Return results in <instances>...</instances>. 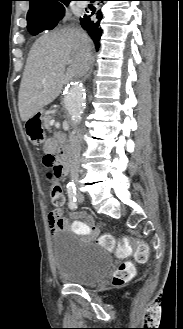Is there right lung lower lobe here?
I'll return each instance as SVG.
<instances>
[{
	"label": "right lung lower lobe",
	"instance_id": "right-lung-lower-lobe-1",
	"mask_svg": "<svg viewBox=\"0 0 183 329\" xmlns=\"http://www.w3.org/2000/svg\"><path fill=\"white\" fill-rule=\"evenodd\" d=\"M104 1V0H96ZM92 14H94L95 9H92ZM95 18H92V15H84L83 18H80L82 27L88 31L90 37L95 43L96 49H99V41L102 36V28L100 27V21L102 20L101 10H98Z\"/></svg>",
	"mask_w": 183,
	"mask_h": 329
}]
</instances>
